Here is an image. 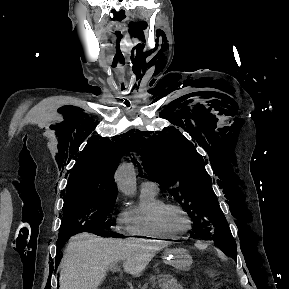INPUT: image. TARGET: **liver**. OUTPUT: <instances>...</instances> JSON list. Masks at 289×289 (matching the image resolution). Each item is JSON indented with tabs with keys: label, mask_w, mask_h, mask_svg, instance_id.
Segmentation results:
<instances>
[{
	"label": "liver",
	"mask_w": 289,
	"mask_h": 289,
	"mask_svg": "<svg viewBox=\"0 0 289 289\" xmlns=\"http://www.w3.org/2000/svg\"><path fill=\"white\" fill-rule=\"evenodd\" d=\"M169 242L104 239L90 233L74 236L61 261L59 289H97L107 268L123 261L124 271L138 276Z\"/></svg>",
	"instance_id": "1"
}]
</instances>
